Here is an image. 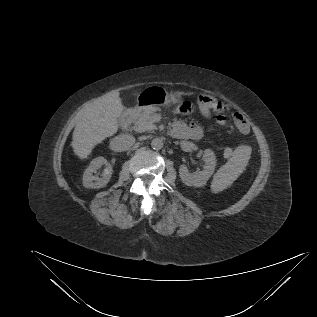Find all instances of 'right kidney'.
<instances>
[{"label":"right kidney","instance_id":"obj_1","mask_svg":"<svg viewBox=\"0 0 317 317\" xmlns=\"http://www.w3.org/2000/svg\"><path fill=\"white\" fill-rule=\"evenodd\" d=\"M105 166V169L102 172V176L93 175L97 171ZM112 166L104 157H97L93 159L89 167L85 170L83 175V186L86 188H102L110 180L112 175Z\"/></svg>","mask_w":317,"mask_h":317}]
</instances>
